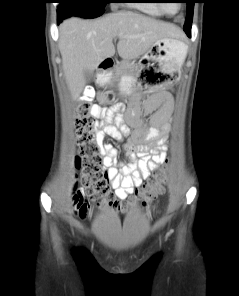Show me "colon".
I'll return each instance as SVG.
<instances>
[{"instance_id":"5ec220e1","label":"colon","mask_w":239,"mask_h":296,"mask_svg":"<svg viewBox=\"0 0 239 296\" xmlns=\"http://www.w3.org/2000/svg\"><path fill=\"white\" fill-rule=\"evenodd\" d=\"M93 89L84 91L83 101L75 111V124L77 142L80 146V154L75 157V167L81 173L83 186L76 189L73 194V203L80 217H85L90 203L115 212H127L140 204L151 201L154 196L163 191L165 172L159 170L153 179L147 181L143 190L138 194L139 199L122 203L115 199L105 177L101 164L100 146L96 134V120L94 117L95 106L90 103Z\"/></svg>"}]
</instances>
